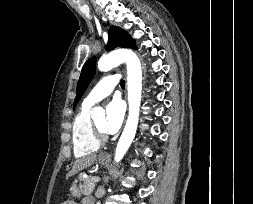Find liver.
<instances>
[{
	"label": "liver",
	"instance_id": "obj_1",
	"mask_svg": "<svg viewBox=\"0 0 253 204\" xmlns=\"http://www.w3.org/2000/svg\"><path fill=\"white\" fill-rule=\"evenodd\" d=\"M97 160L96 154L84 156L74 161L71 171L67 174L66 178L74 175L75 173L83 170L84 168L90 167Z\"/></svg>",
	"mask_w": 253,
	"mask_h": 204
}]
</instances>
